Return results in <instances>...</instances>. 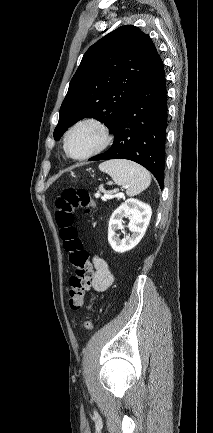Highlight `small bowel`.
I'll return each mask as SVG.
<instances>
[{
	"mask_svg": "<svg viewBox=\"0 0 213 433\" xmlns=\"http://www.w3.org/2000/svg\"><path fill=\"white\" fill-rule=\"evenodd\" d=\"M92 263L95 271L91 279V287L95 292H103L112 285L114 275L103 258L94 256Z\"/></svg>",
	"mask_w": 213,
	"mask_h": 433,
	"instance_id": "obj_1",
	"label": "small bowel"
}]
</instances>
